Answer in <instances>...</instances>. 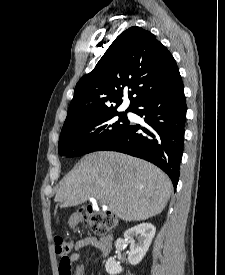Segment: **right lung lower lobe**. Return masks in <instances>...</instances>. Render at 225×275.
<instances>
[{"instance_id": "98d812e1", "label": "right lung lower lobe", "mask_w": 225, "mask_h": 275, "mask_svg": "<svg viewBox=\"0 0 225 275\" xmlns=\"http://www.w3.org/2000/svg\"><path fill=\"white\" fill-rule=\"evenodd\" d=\"M186 110L181 80L143 98L130 109L144 118L146 127L129 122L98 150L118 151L145 159L167 173L176 188L183 153Z\"/></svg>"}]
</instances>
